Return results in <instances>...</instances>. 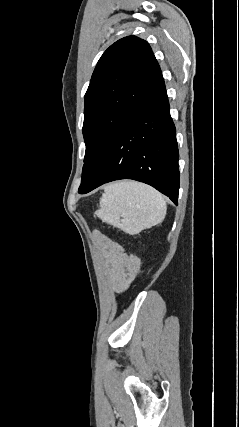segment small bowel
I'll list each match as a JSON object with an SVG mask.
<instances>
[{
    "instance_id": "small-bowel-1",
    "label": "small bowel",
    "mask_w": 239,
    "mask_h": 427,
    "mask_svg": "<svg viewBox=\"0 0 239 427\" xmlns=\"http://www.w3.org/2000/svg\"><path fill=\"white\" fill-rule=\"evenodd\" d=\"M97 240L107 259L114 289L117 292L124 291L137 275L139 269L138 258L126 252L118 243L107 239L101 234H97Z\"/></svg>"
}]
</instances>
